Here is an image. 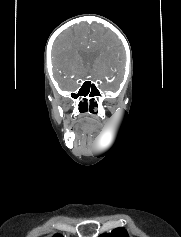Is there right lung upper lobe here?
<instances>
[{
    "label": "right lung upper lobe",
    "mask_w": 181,
    "mask_h": 237,
    "mask_svg": "<svg viewBox=\"0 0 181 237\" xmlns=\"http://www.w3.org/2000/svg\"><path fill=\"white\" fill-rule=\"evenodd\" d=\"M53 237H63L61 234H56Z\"/></svg>",
    "instance_id": "cb5924a9"
}]
</instances>
